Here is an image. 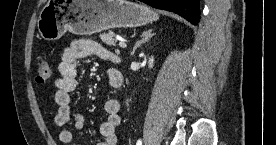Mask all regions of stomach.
<instances>
[{"label":"stomach","mask_w":276,"mask_h":145,"mask_svg":"<svg viewBox=\"0 0 276 145\" xmlns=\"http://www.w3.org/2000/svg\"><path fill=\"white\" fill-rule=\"evenodd\" d=\"M158 18L149 7L126 0H49L37 26L44 40L55 41L67 31L91 35L111 28L146 25Z\"/></svg>","instance_id":"0dacf381"}]
</instances>
